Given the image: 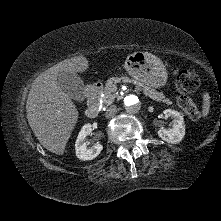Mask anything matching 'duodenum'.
Returning <instances> with one entry per match:
<instances>
[{
	"mask_svg": "<svg viewBox=\"0 0 221 221\" xmlns=\"http://www.w3.org/2000/svg\"><path fill=\"white\" fill-rule=\"evenodd\" d=\"M102 90L103 85L101 83H94L90 85L86 91L88 107L85 114L90 119L96 118L99 114V99Z\"/></svg>",
	"mask_w": 221,
	"mask_h": 221,
	"instance_id": "duodenum-1",
	"label": "duodenum"
}]
</instances>
